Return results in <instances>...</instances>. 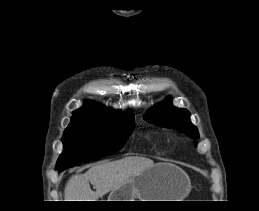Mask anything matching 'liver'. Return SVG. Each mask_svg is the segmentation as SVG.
Listing matches in <instances>:
<instances>
[{
  "label": "liver",
  "instance_id": "6515ba94",
  "mask_svg": "<svg viewBox=\"0 0 259 211\" xmlns=\"http://www.w3.org/2000/svg\"><path fill=\"white\" fill-rule=\"evenodd\" d=\"M152 166L153 160L140 156L96 164L84 174L71 176L65 186V201H97L100 196ZM90 183L95 191L91 189Z\"/></svg>",
  "mask_w": 259,
  "mask_h": 211
}]
</instances>
